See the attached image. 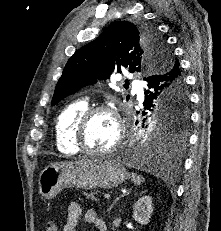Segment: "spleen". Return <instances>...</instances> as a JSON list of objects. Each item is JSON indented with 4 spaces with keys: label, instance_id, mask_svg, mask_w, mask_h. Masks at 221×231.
I'll use <instances>...</instances> for the list:
<instances>
[{
    "label": "spleen",
    "instance_id": "spleen-1",
    "mask_svg": "<svg viewBox=\"0 0 221 231\" xmlns=\"http://www.w3.org/2000/svg\"><path fill=\"white\" fill-rule=\"evenodd\" d=\"M132 177L136 184H141L144 181V179L140 175L132 173Z\"/></svg>",
    "mask_w": 221,
    "mask_h": 231
}]
</instances>
